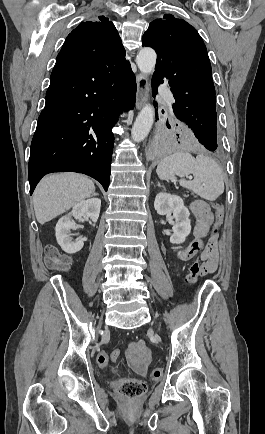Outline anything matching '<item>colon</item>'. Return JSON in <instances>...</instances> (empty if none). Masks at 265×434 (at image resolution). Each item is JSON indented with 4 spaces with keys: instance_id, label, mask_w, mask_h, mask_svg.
Segmentation results:
<instances>
[{
    "instance_id": "obj_1",
    "label": "colon",
    "mask_w": 265,
    "mask_h": 434,
    "mask_svg": "<svg viewBox=\"0 0 265 434\" xmlns=\"http://www.w3.org/2000/svg\"><path fill=\"white\" fill-rule=\"evenodd\" d=\"M213 220L215 227L212 231L215 234L218 231V227L221 225L224 219V209L220 203L214 204ZM69 260L66 256L61 254L54 246H48L46 249L45 265L49 269H55L63 271L68 267ZM192 271L191 278H184L187 285L191 286L195 283L197 278V269H200V260H195L191 263L190 268ZM117 357V355H116ZM97 363L100 367H106L108 365V356L105 353H100L97 356ZM151 380H160L163 376V371L160 368H154L149 373ZM116 390L123 395L132 397L140 396L147 390V383L137 379L121 378L118 380L115 386Z\"/></svg>"
}]
</instances>
